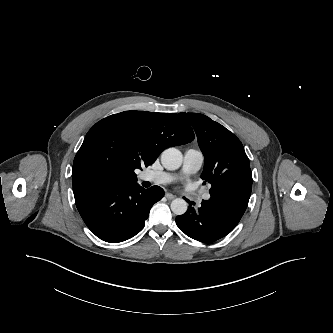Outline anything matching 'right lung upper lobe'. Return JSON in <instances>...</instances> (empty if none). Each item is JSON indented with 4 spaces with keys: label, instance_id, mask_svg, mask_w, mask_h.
<instances>
[{
    "label": "right lung upper lobe",
    "instance_id": "obj_1",
    "mask_svg": "<svg viewBox=\"0 0 333 333\" xmlns=\"http://www.w3.org/2000/svg\"><path fill=\"white\" fill-rule=\"evenodd\" d=\"M190 125L176 113L125 111L87 133L72 169L73 189L92 183L130 187L135 169L151 165L166 148L191 142Z\"/></svg>",
    "mask_w": 333,
    "mask_h": 333
}]
</instances>
